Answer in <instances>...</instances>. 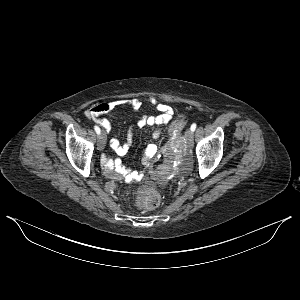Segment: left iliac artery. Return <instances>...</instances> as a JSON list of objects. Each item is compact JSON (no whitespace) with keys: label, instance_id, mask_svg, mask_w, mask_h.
Returning <instances> with one entry per match:
<instances>
[{"label":"left iliac artery","instance_id":"left-iliac-artery-1","mask_svg":"<svg viewBox=\"0 0 300 300\" xmlns=\"http://www.w3.org/2000/svg\"><path fill=\"white\" fill-rule=\"evenodd\" d=\"M190 129H191L192 132H194L195 129H196V123H193V124L191 125V128H190Z\"/></svg>","mask_w":300,"mask_h":300}]
</instances>
